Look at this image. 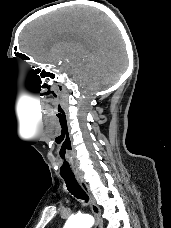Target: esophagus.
Returning a JSON list of instances; mask_svg holds the SVG:
<instances>
[{
	"label": "esophagus",
	"instance_id": "1",
	"mask_svg": "<svg viewBox=\"0 0 171 228\" xmlns=\"http://www.w3.org/2000/svg\"><path fill=\"white\" fill-rule=\"evenodd\" d=\"M76 180L88 196L90 207L92 209V212H93L95 220H96L95 228H103V222L101 219V209L96 204V201H95V199H94V197H93V195H92V193L88 187V184L85 182L83 177L80 175H76Z\"/></svg>",
	"mask_w": 171,
	"mask_h": 228
}]
</instances>
